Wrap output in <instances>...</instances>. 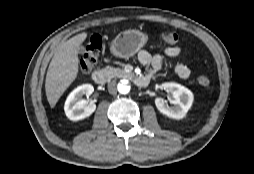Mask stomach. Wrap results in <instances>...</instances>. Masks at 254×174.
Masks as SVG:
<instances>
[{
  "label": "stomach",
  "mask_w": 254,
  "mask_h": 174,
  "mask_svg": "<svg viewBox=\"0 0 254 174\" xmlns=\"http://www.w3.org/2000/svg\"><path fill=\"white\" fill-rule=\"evenodd\" d=\"M148 41V35L139 30L130 29L120 32L111 43V53L119 58L135 55Z\"/></svg>",
  "instance_id": "0dacf381"
}]
</instances>
